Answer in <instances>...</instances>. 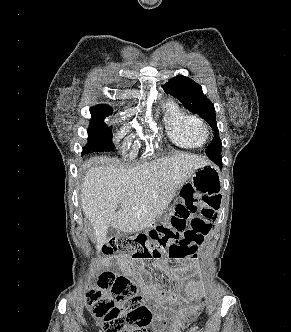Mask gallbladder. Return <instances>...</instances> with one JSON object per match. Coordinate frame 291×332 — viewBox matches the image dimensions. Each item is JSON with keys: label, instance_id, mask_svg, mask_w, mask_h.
Segmentation results:
<instances>
[{"label": "gallbladder", "instance_id": "bac80fb5", "mask_svg": "<svg viewBox=\"0 0 291 332\" xmlns=\"http://www.w3.org/2000/svg\"><path fill=\"white\" fill-rule=\"evenodd\" d=\"M117 235H118L117 229H115L112 226H109L108 229H107L106 238L111 239L113 237H116Z\"/></svg>", "mask_w": 291, "mask_h": 332}]
</instances>
